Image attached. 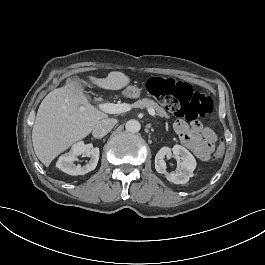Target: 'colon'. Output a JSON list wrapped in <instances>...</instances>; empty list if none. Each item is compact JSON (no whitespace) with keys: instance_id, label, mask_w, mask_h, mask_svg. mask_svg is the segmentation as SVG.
<instances>
[{"instance_id":"1","label":"colon","mask_w":265,"mask_h":265,"mask_svg":"<svg viewBox=\"0 0 265 265\" xmlns=\"http://www.w3.org/2000/svg\"><path fill=\"white\" fill-rule=\"evenodd\" d=\"M146 90L174 116L189 121L208 116L213 107L211 96L204 95L188 83L171 77H149ZM224 152L225 145L221 142L214 151L213 157L216 160L221 159Z\"/></svg>"}]
</instances>
